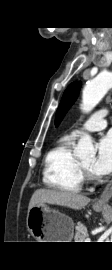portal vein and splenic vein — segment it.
Listing matches in <instances>:
<instances>
[{"instance_id": "obj_1", "label": "portal vein and splenic vein", "mask_w": 112, "mask_h": 270, "mask_svg": "<svg viewBox=\"0 0 112 270\" xmlns=\"http://www.w3.org/2000/svg\"><path fill=\"white\" fill-rule=\"evenodd\" d=\"M85 242H91L90 238H87V239L85 240Z\"/></svg>"}]
</instances>
